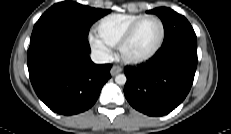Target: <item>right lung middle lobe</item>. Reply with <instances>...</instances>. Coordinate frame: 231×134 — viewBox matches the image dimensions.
I'll list each match as a JSON object with an SVG mask.
<instances>
[{"mask_svg":"<svg viewBox=\"0 0 231 134\" xmlns=\"http://www.w3.org/2000/svg\"><path fill=\"white\" fill-rule=\"evenodd\" d=\"M110 11L91 8L71 1L56 3L36 22L32 35L46 28L56 26L75 31L87 37L91 25Z\"/></svg>","mask_w":231,"mask_h":134,"instance_id":"right-lung-middle-lobe-1","label":"right lung middle lobe"}]
</instances>
